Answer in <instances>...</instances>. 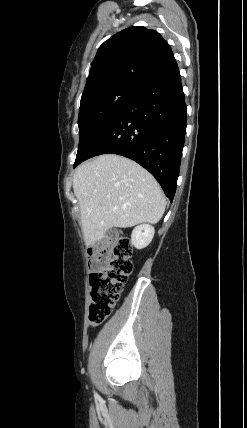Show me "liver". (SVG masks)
Segmentation results:
<instances>
[{"label": "liver", "instance_id": "liver-1", "mask_svg": "<svg viewBox=\"0 0 247 428\" xmlns=\"http://www.w3.org/2000/svg\"><path fill=\"white\" fill-rule=\"evenodd\" d=\"M87 246L101 241L112 227L157 223L166 200L154 179L134 161L105 154L81 164L73 177Z\"/></svg>", "mask_w": 247, "mask_h": 428}]
</instances>
